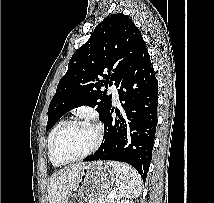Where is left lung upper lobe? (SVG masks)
I'll return each instance as SVG.
<instances>
[{
  "label": "left lung upper lobe",
  "mask_w": 214,
  "mask_h": 203,
  "mask_svg": "<svg viewBox=\"0 0 214 203\" xmlns=\"http://www.w3.org/2000/svg\"><path fill=\"white\" fill-rule=\"evenodd\" d=\"M145 49L141 32L127 15L117 13L104 18L71 57L50 102L46 130L65 113L83 105L96 107L102 120L111 108L112 96L100 88L108 83L111 86L113 81L118 86Z\"/></svg>",
  "instance_id": "obj_1"
}]
</instances>
